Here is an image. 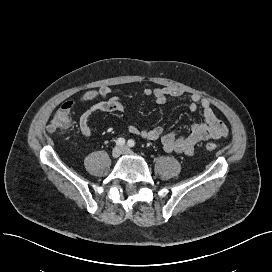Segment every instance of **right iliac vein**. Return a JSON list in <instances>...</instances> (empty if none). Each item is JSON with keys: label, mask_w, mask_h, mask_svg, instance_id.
Listing matches in <instances>:
<instances>
[{"label": "right iliac vein", "mask_w": 272, "mask_h": 272, "mask_svg": "<svg viewBox=\"0 0 272 272\" xmlns=\"http://www.w3.org/2000/svg\"><path fill=\"white\" fill-rule=\"evenodd\" d=\"M122 153V148L119 146H116L112 150V157L113 158H118Z\"/></svg>", "instance_id": "1"}]
</instances>
